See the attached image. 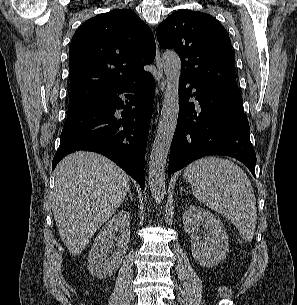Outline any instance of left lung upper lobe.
Masks as SVG:
<instances>
[{
  "mask_svg": "<svg viewBox=\"0 0 297 305\" xmlns=\"http://www.w3.org/2000/svg\"><path fill=\"white\" fill-rule=\"evenodd\" d=\"M159 44L174 49L183 76L196 82L234 80V54L226 29L214 17L178 10L157 28Z\"/></svg>",
  "mask_w": 297,
  "mask_h": 305,
  "instance_id": "left-lung-upper-lobe-1",
  "label": "left lung upper lobe"
}]
</instances>
